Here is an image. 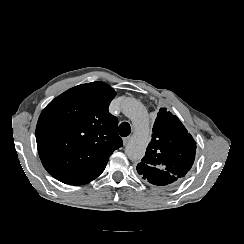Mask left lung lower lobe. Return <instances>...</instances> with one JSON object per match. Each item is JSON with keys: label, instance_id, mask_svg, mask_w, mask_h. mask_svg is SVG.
<instances>
[{"label": "left lung lower lobe", "instance_id": "1", "mask_svg": "<svg viewBox=\"0 0 244 244\" xmlns=\"http://www.w3.org/2000/svg\"><path fill=\"white\" fill-rule=\"evenodd\" d=\"M143 179H146L148 182H150V183H152V184H154V185L165 186V185L160 184V183H153L152 181H150L149 179L145 178L144 176H143ZM176 180H177V179L173 180L172 183L175 182ZM170 184H171V183H170ZM167 185H168V184H167Z\"/></svg>", "mask_w": 244, "mask_h": 244}]
</instances>
